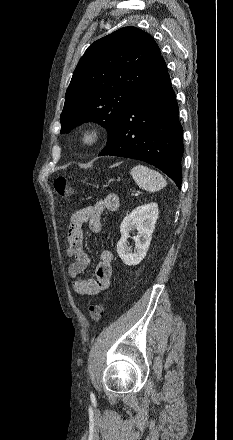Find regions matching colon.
I'll use <instances>...</instances> for the list:
<instances>
[{
  "label": "colon",
  "mask_w": 233,
  "mask_h": 440,
  "mask_svg": "<svg viewBox=\"0 0 233 440\" xmlns=\"http://www.w3.org/2000/svg\"><path fill=\"white\" fill-rule=\"evenodd\" d=\"M53 187L55 192L62 196L66 197L72 193L70 189L67 179L64 176H58L55 178L53 182ZM104 314V306L100 303L93 304L89 307V316L93 321L99 320Z\"/></svg>",
  "instance_id": "1"
}]
</instances>
